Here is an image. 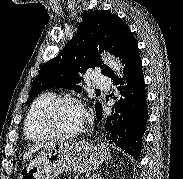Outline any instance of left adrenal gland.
<instances>
[{
    "mask_svg": "<svg viewBox=\"0 0 183 179\" xmlns=\"http://www.w3.org/2000/svg\"><path fill=\"white\" fill-rule=\"evenodd\" d=\"M89 179H102V176L100 174H93Z\"/></svg>",
    "mask_w": 183,
    "mask_h": 179,
    "instance_id": "a2214340",
    "label": "left adrenal gland"
}]
</instances>
